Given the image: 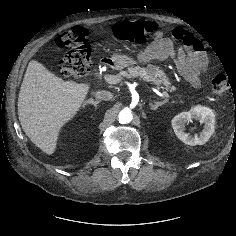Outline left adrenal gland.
<instances>
[{
    "label": "left adrenal gland",
    "mask_w": 236,
    "mask_h": 236,
    "mask_svg": "<svg viewBox=\"0 0 236 236\" xmlns=\"http://www.w3.org/2000/svg\"><path fill=\"white\" fill-rule=\"evenodd\" d=\"M169 101V99H165L163 101H160V102H154L153 103H150V107H151V110H157L160 106L164 105L165 103H167Z\"/></svg>",
    "instance_id": "left-adrenal-gland-1"
}]
</instances>
